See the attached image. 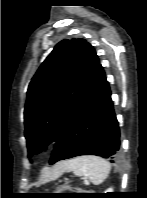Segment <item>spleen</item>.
Segmentation results:
<instances>
[{
	"mask_svg": "<svg viewBox=\"0 0 147 198\" xmlns=\"http://www.w3.org/2000/svg\"><path fill=\"white\" fill-rule=\"evenodd\" d=\"M111 165L105 159L85 155L76 157L69 161L68 170L76 176H86L94 185H100L105 181L110 172Z\"/></svg>",
	"mask_w": 147,
	"mask_h": 198,
	"instance_id": "3e777b00",
	"label": "spleen"
}]
</instances>
